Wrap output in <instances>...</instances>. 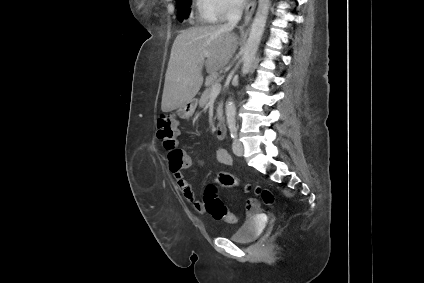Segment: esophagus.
<instances>
[{"label":"esophagus","instance_id":"34e87169","mask_svg":"<svg viewBox=\"0 0 424 283\" xmlns=\"http://www.w3.org/2000/svg\"><path fill=\"white\" fill-rule=\"evenodd\" d=\"M255 7H256V0H249L245 9V14H244V23H243L244 27L249 24L252 18V15L254 13Z\"/></svg>","mask_w":424,"mask_h":283}]
</instances>
